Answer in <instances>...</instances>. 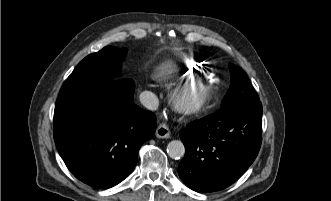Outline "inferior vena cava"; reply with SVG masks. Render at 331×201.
<instances>
[{
	"label": "inferior vena cava",
	"mask_w": 331,
	"mask_h": 201,
	"mask_svg": "<svg viewBox=\"0 0 331 201\" xmlns=\"http://www.w3.org/2000/svg\"><path fill=\"white\" fill-rule=\"evenodd\" d=\"M140 101L149 110H156L159 106V100L157 96L150 92L144 91L140 94Z\"/></svg>",
	"instance_id": "inferior-vena-cava-1"
}]
</instances>
